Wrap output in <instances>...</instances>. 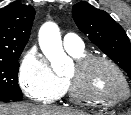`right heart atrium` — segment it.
Masks as SVG:
<instances>
[{
	"label": "right heart atrium",
	"instance_id": "right-heart-atrium-1",
	"mask_svg": "<svg viewBox=\"0 0 131 115\" xmlns=\"http://www.w3.org/2000/svg\"><path fill=\"white\" fill-rule=\"evenodd\" d=\"M18 80L24 94L40 103L53 102L65 88V82L53 72L47 59L36 48L23 56Z\"/></svg>",
	"mask_w": 131,
	"mask_h": 115
}]
</instances>
